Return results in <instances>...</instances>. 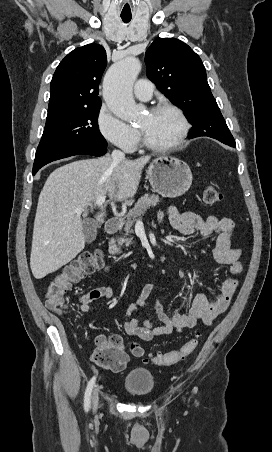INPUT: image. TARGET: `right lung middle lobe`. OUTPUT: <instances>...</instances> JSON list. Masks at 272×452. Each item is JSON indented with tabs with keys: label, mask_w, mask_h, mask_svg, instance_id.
<instances>
[{
	"label": "right lung middle lobe",
	"mask_w": 272,
	"mask_h": 452,
	"mask_svg": "<svg viewBox=\"0 0 272 452\" xmlns=\"http://www.w3.org/2000/svg\"><path fill=\"white\" fill-rule=\"evenodd\" d=\"M99 107L64 110L47 115L44 132L37 150L71 145L106 147L99 131Z\"/></svg>",
	"instance_id": "obj_1"
}]
</instances>
